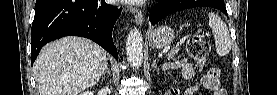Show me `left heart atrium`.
<instances>
[{"label":"left heart atrium","mask_w":277,"mask_h":95,"mask_svg":"<svg viewBox=\"0 0 277 95\" xmlns=\"http://www.w3.org/2000/svg\"><path fill=\"white\" fill-rule=\"evenodd\" d=\"M132 2H133V3H137V4H140V3H143V2H145V0H133Z\"/></svg>","instance_id":"left-heart-atrium-1"}]
</instances>
